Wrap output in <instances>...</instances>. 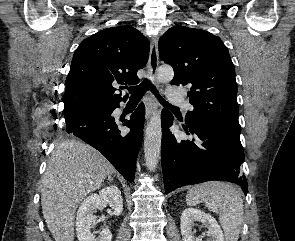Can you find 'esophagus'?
Masks as SVG:
<instances>
[{"label": "esophagus", "mask_w": 295, "mask_h": 241, "mask_svg": "<svg viewBox=\"0 0 295 241\" xmlns=\"http://www.w3.org/2000/svg\"><path fill=\"white\" fill-rule=\"evenodd\" d=\"M159 65V52H158V37H153L150 46V56L147 66L148 78L155 83L156 73ZM157 108V101L155 97L149 92L145 97V109H146V120L154 113Z\"/></svg>", "instance_id": "obj_1"}]
</instances>
